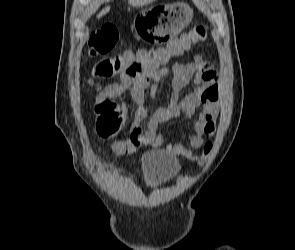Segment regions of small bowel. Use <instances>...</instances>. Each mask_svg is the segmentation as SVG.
I'll list each match as a JSON object with an SVG mask.
<instances>
[{
  "mask_svg": "<svg viewBox=\"0 0 295 250\" xmlns=\"http://www.w3.org/2000/svg\"><path fill=\"white\" fill-rule=\"evenodd\" d=\"M180 54L182 52L168 47L149 51H125L120 55L124 66L118 73V81L101 85L94 79L88 80V84L97 90L95 106L125 93H129L134 103L140 105L129 138L115 141L114 153L133 155L146 146H163L165 137L158 132L159 124L178 118L182 114L192 127V133L188 136V143L192 148L204 147L208 143L207 139L215 134L219 114L218 74L212 64L200 55L195 56L190 62L174 64L172 91L168 103L156 108L143 124L147 117V110L143 106L145 91L149 88L150 98L154 101L158 94L159 82L169 73L166 64L171 57ZM192 82L195 84L194 90L180 98L179 91ZM166 149L186 158L193 156L187 147L179 143H168Z\"/></svg>",
  "mask_w": 295,
  "mask_h": 250,
  "instance_id": "obj_1",
  "label": "small bowel"
}]
</instances>
